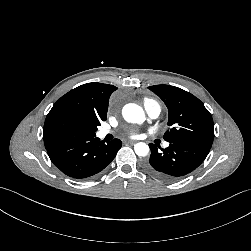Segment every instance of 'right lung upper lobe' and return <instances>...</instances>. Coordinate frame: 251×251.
I'll use <instances>...</instances> for the list:
<instances>
[{
  "label": "right lung upper lobe",
  "instance_id": "cb5924a9",
  "mask_svg": "<svg viewBox=\"0 0 251 251\" xmlns=\"http://www.w3.org/2000/svg\"><path fill=\"white\" fill-rule=\"evenodd\" d=\"M117 87L102 83H87L76 87L62 96L53 105L47 118L54 112L61 109H71L95 119L106 120L109 97ZM50 141L44 130L45 147Z\"/></svg>",
  "mask_w": 251,
  "mask_h": 251
}]
</instances>
